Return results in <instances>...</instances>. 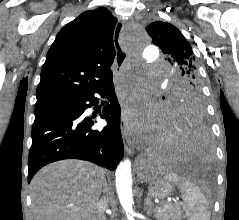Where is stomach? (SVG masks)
I'll list each match as a JSON object with an SVG mask.
<instances>
[{
    "label": "stomach",
    "mask_w": 239,
    "mask_h": 220,
    "mask_svg": "<svg viewBox=\"0 0 239 220\" xmlns=\"http://www.w3.org/2000/svg\"><path fill=\"white\" fill-rule=\"evenodd\" d=\"M173 192V185L168 180L151 178L149 183V194L155 198L168 197Z\"/></svg>",
    "instance_id": "0dacf381"
}]
</instances>
